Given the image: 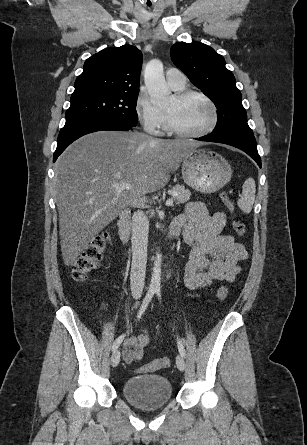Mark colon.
Listing matches in <instances>:
<instances>
[{
    "label": "colon",
    "mask_w": 307,
    "mask_h": 445,
    "mask_svg": "<svg viewBox=\"0 0 307 445\" xmlns=\"http://www.w3.org/2000/svg\"><path fill=\"white\" fill-rule=\"evenodd\" d=\"M222 201L227 206V208L234 212L235 206L230 197L223 193L221 195ZM233 230L238 236H242L246 232L245 224L242 221H233ZM110 236L108 233H102L95 237L91 243L87 245L84 251L76 258L72 265V277L76 281H85L88 275L94 271L103 257L106 247L109 243ZM228 294V289L226 286H220L217 290V298L219 301L225 300ZM171 365V360L167 357H163L152 361L149 364L139 367L137 370L139 372H152L160 369L169 368Z\"/></svg>",
    "instance_id": "colon-1"
}]
</instances>
